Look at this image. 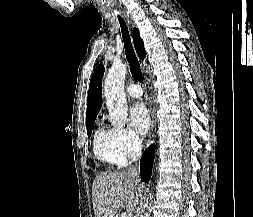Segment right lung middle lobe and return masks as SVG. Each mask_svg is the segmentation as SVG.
<instances>
[{
    "label": "right lung middle lobe",
    "instance_id": "1",
    "mask_svg": "<svg viewBox=\"0 0 253 217\" xmlns=\"http://www.w3.org/2000/svg\"><path fill=\"white\" fill-rule=\"evenodd\" d=\"M94 122H95V120L87 122V134H88V137H90V135L92 133Z\"/></svg>",
    "mask_w": 253,
    "mask_h": 217
}]
</instances>
